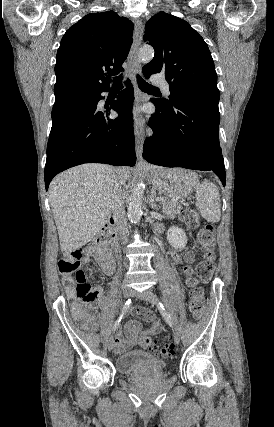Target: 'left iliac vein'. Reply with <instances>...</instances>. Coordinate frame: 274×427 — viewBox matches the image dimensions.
Instances as JSON below:
<instances>
[{"label": "left iliac vein", "instance_id": "left-iliac-vein-1", "mask_svg": "<svg viewBox=\"0 0 274 427\" xmlns=\"http://www.w3.org/2000/svg\"><path fill=\"white\" fill-rule=\"evenodd\" d=\"M132 296L137 297L139 299L145 300L147 302H150L152 304H155L157 302V296L150 290H145L143 292L138 291H132ZM173 339L176 344L180 343V334L178 331L174 332Z\"/></svg>", "mask_w": 274, "mask_h": 427}]
</instances>
